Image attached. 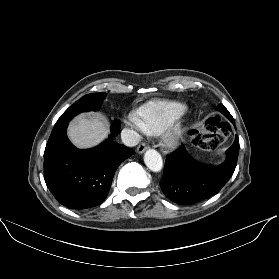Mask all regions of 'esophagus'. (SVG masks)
<instances>
[{"mask_svg":"<svg viewBox=\"0 0 279 279\" xmlns=\"http://www.w3.org/2000/svg\"><path fill=\"white\" fill-rule=\"evenodd\" d=\"M147 148L148 146L145 143H142L137 147V152L142 154Z\"/></svg>","mask_w":279,"mask_h":279,"instance_id":"34e87169","label":"esophagus"}]
</instances>
